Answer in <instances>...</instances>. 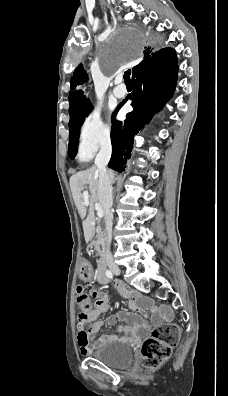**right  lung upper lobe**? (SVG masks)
I'll return each mask as SVG.
<instances>
[{
  "label": "right lung upper lobe",
  "mask_w": 228,
  "mask_h": 396,
  "mask_svg": "<svg viewBox=\"0 0 228 396\" xmlns=\"http://www.w3.org/2000/svg\"><path fill=\"white\" fill-rule=\"evenodd\" d=\"M152 54L151 48L148 47L146 50H144V57L147 58ZM139 65V64H138ZM135 66L132 69V74L135 71V69L138 67ZM88 80V75L86 71L83 69V65L80 64L78 67L75 69L74 74L71 78V91L69 93V114L70 116L82 111L89 106H91L89 101H86L85 96L83 95V92L81 90H77L78 86L83 84Z\"/></svg>",
  "instance_id": "right-lung-upper-lobe-1"
}]
</instances>
